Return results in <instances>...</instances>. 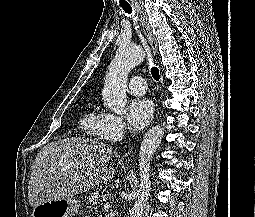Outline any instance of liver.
Returning <instances> with one entry per match:
<instances>
[{"instance_id":"1","label":"liver","mask_w":255,"mask_h":217,"mask_svg":"<svg viewBox=\"0 0 255 217\" xmlns=\"http://www.w3.org/2000/svg\"><path fill=\"white\" fill-rule=\"evenodd\" d=\"M112 154L110 146L85 138L47 144L32 166L28 185L30 205L71 198L102 182L108 184L115 174V169L108 165Z\"/></svg>"}]
</instances>
